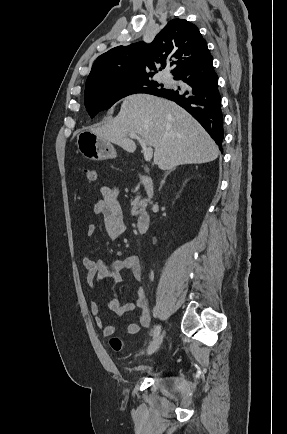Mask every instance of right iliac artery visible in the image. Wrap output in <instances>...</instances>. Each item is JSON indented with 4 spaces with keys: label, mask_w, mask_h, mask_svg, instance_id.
Listing matches in <instances>:
<instances>
[{
    "label": "right iliac artery",
    "mask_w": 287,
    "mask_h": 434,
    "mask_svg": "<svg viewBox=\"0 0 287 434\" xmlns=\"http://www.w3.org/2000/svg\"><path fill=\"white\" fill-rule=\"evenodd\" d=\"M160 330H161L160 325H159V324L156 325V327H155L154 330H153L152 336H153L154 338H155L156 336H158L159 333H160Z\"/></svg>",
    "instance_id": "82829eb1"
}]
</instances>
